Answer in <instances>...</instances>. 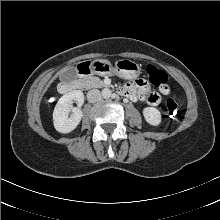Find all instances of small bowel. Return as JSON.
<instances>
[{
  "instance_id": "1",
  "label": "small bowel",
  "mask_w": 220,
  "mask_h": 220,
  "mask_svg": "<svg viewBox=\"0 0 220 220\" xmlns=\"http://www.w3.org/2000/svg\"><path fill=\"white\" fill-rule=\"evenodd\" d=\"M121 90L124 91L125 96L132 101H147L152 105L159 104L161 102V95H167L170 92L166 84L159 87V92H153L148 83L142 79L127 83Z\"/></svg>"
}]
</instances>
